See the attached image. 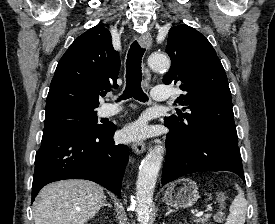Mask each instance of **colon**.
I'll return each mask as SVG.
<instances>
[{
    "label": "colon",
    "mask_w": 275,
    "mask_h": 224,
    "mask_svg": "<svg viewBox=\"0 0 275 224\" xmlns=\"http://www.w3.org/2000/svg\"><path fill=\"white\" fill-rule=\"evenodd\" d=\"M224 199H225L224 194H223V193H219V195H218V200L222 203V202L224 201ZM218 219H219V220L222 219V215H221V214L218 215Z\"/></svg>",
    "instance_id": "obj_1"
}]
</instances>
